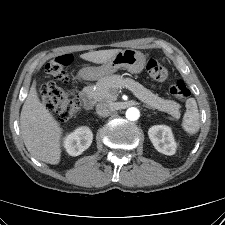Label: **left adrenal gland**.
<instances>
[{
	"instance_id": "obj_1",
	"label": "left adrenal gland",
	"mask_w": 225,
	"mask_h": 225,
	"mask_svg": "<svg viewBox=\"0 0 225 225\" xmlns=\"http://www.w3.org/2000/svg\"><path fill=\"white\" fill-rule=\"evenodd\" d=\"M144 107L151 109V107H149V106H144Z\"/></svg>"
}]
</instances>
